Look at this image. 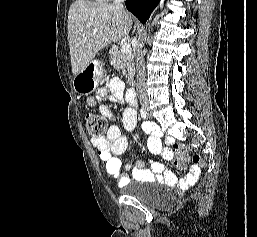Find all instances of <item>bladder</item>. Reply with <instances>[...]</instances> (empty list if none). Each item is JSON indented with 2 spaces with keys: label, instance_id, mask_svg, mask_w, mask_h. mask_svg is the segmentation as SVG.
Listing matches in <instances>:
<instances>
[{
  "label": "bladder",
  "instance_id": "1",
  "mask_svg": "<svg viewBox=\"0 0 257 237\" xmlns=\"http://www.w3.org/2000/svg\"><path fill=\"white\" fill-rule=\"evenodd\" d=\"M155 182V181H152ZM127 192L126 194L136 198L137 200L149 204V205H162L168 202L172 197L165 193V192H152L146 189H142L137 186H130L127 185Z\"/></svg>",
  "mask_w": 257,
  "mask_h": 237
}]
</instances>
